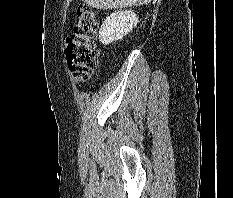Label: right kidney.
<instances>
[{"label":"right kidney","instance_id":"1","mask_svg":"<svg viewBox=\"0 0 233 198\" xmlns=\"http://www.w3.org/2000/svg\"><path fill=\"white\" fill-rule=\"evenodd\" d=\"M138 22L137 15L131 10L114 12L102 23L99 40L104 45L121 40L136 27Z\"/></svg>","mask_w":233,"mask_h":198}]
</instances>
